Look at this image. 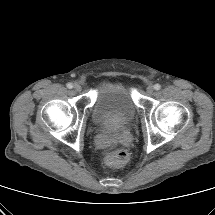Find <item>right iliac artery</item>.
Wrapping results in <instances>:
<instances>
[{
  "mask_svg": "<svg viewBox=\"0 0 215 215\" xmlns=\"http://www.w3.org/2000/svg\"><path fill=\"white\" fill-rule=\"evenodd\" d=\"M67 88L72 89L73 88V84L72 83H68L67 84Z\"/></svg>",
  "mask_w": 215,
  "mask_h": 215,
  "instance_id": "82829eb1",
  "label": "right iliac artery"
}]
</instances>
